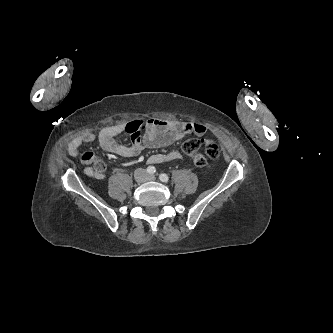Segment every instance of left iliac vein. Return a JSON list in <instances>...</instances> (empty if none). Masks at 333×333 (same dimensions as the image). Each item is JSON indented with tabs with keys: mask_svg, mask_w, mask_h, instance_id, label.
Listing matches in <instances>:
<instances>
[{
	"mask_svg": "<svg viewBox=\"0 0 333 333\" xmlns=\"http://www.w3.org/2000/svg\"><path fill=\"white\" fill-rule=\"evenodd\" d=\"M150 179H154L155 177L153 175L149 176Z\"/></svg>",
	"mask_w": 333,
	"mask_h": 333,
	"instance_id": "left-iliac-vein-1",
	"label": "left iliac vein"
}]
</instances>
